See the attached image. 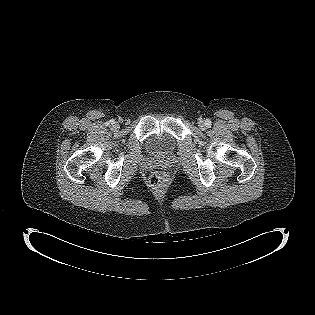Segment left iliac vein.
Masks as SVG:
<instances>
[{"label":"left iliac vein","mask_w":315,"mask_h":315,"mask_svg":"<svg viewBox=\"0 0 315 315\" xmlns=\"http://www.w3.org/2000/svg\"><path fill=\"white\" fill-rule=\"evenodd\" d=\"M198 126H199L201 129H204L206 125H205V122H204L203 120H199Z\"/></svg>","instance_id":"obj_1"}]
</instances>
